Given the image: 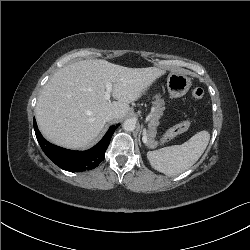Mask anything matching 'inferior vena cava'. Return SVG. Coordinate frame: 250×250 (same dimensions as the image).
Wrapping results in <instances>:
<instances>
[{"label": "inferior vena cava", "mask_w": 250, "mask_h": 250, "mask_svg": "<svg viewBox=\"0 0 250 250\" xmlns=\"http://www.w3.org/2000/svg\"><path fill=\"white\" fill-rule=\"evenodd\" d=\"M115 117H116V113L113 112V111H110V112L107 113V115H106V119H107L108 121L114 119Z\"/></svg>", "instance_id": "inferior-vena-cava-1"}]
</instances>
